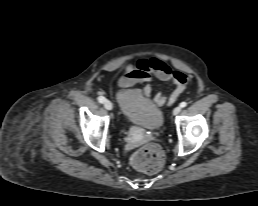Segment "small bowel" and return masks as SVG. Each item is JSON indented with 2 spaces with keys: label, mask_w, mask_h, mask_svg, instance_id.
<instances>
[{
  "label": "small bowel",
  "mask_w": 258,
  "mask_h": 206,
  "mask_svg": "<svg viewBox=\"0 0 258 206\" xmlns=\"http://www.w3.org/2000/svg\"><path fill=\"white\" fill-rule=\"evenodd\" d=\"M152 77L161 81L170 82L174 89L169 96L159 92L155 95L154 101L158 106L164 104L171 105L183 92L186 83L190 80L189 76L179 70H174L167 63L157 59H140L136 64H127L124 73L118 79V85L125 90L134 84L143 83V93L150 96L152 91Z\"/></svg>",
  "instance_id": "1"
}]
</instances>
